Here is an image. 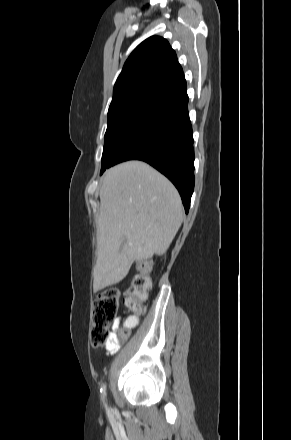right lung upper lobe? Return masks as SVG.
<instances>
[{"label":"right lung upper lobe","instance_id":"obj_1","mask_svg":"<svg viewBox=\"0 0 291 440\" xmlns=\"http://www.w3.org/2000/svg\"><path fill=\"white\" fill-rule=\"evenodd\" d=\"M184 79L168 41L152 36L131 53L118 76L111 104L137 97L156 98Z\"/></svg>","mask_w":291,"mask_h":440}]
</instances>
